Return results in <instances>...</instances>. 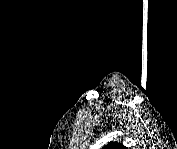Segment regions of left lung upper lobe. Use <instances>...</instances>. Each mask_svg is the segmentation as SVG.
Here are the masks:
<instances>
[{
	"label": "left lung upper lobe",
	"mask_w": 177,
	"mask_h": 149,
	"mask_svg": "<svg viewBox=\"0 0 177 149\" xmlns=\"http://www.w3.org/2000/svg\"><path fill=\"white\" fill-rule=\"evenodd\" d=\"M125 148H126L125 146L117 142H110L104 147V149H125Z\"/></svg>",
	"instance_id": "5c2ea615"
}]
</instances>
